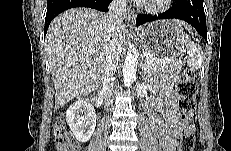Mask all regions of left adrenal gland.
I'll return each instance as SVG.
<instances>
[{"label":"left adrenal gland","instance_id":"1","mask_svg":"<svg viewBox=\"0 0 231 151\" xmlns=\"http://www.w3.org/2000/svg\"><path fill=\"white\" fill-rule=\"evenodd\" d=\"M141 68H142V78L144 79L145 74H146V69L144 67V64L141 62Z\"/></svg>","mask_w":231,"mask_h":151}]
</instances>
